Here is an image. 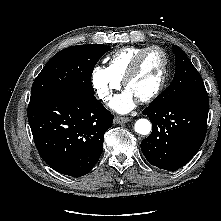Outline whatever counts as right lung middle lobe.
<instances>
[{
	"instance_id": "obj_1",
	"label": "right lung middle lobe",
	"mask_w": 221,
	"mask_h": 221,
	"mask_svg": "<svg viewBox=\"0 0 221 221\" xmlns=\"http://www.w3.org/2000/svg\"><path fill=\"white\" fill-rule=\"evenodd\" d=\"M110 48L103 44L77 45L55 54L34 80L30 101L50 96L94 95L92 71Z\"/></svg>"
}]
</instances>
